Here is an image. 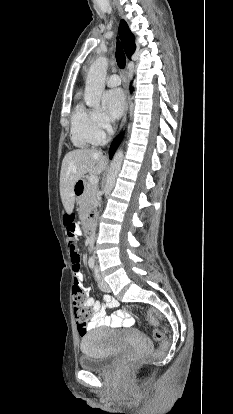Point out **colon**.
I'll return each instance as SVG.
<instances>
[{
  "mask_svg": "<svg viewBox=\"0 0 233 414\" xmlns=\"http://www.w3.org/2000/svg\"><path fill=\"white\" fill-rule=\"evenodd\" d=\"M77 231V227L72 220H67L66 222V232L68 237V246L70 253L73 250L78 251V243H77V236L75 232ZM73 294V293H72ZM73 304H74V314L77 323V328L80 334H84L87 329L89 328L91 321H92V311L87 306L86 303V293L85 291L79 295L73 294ZM149 319L153 325H158L160 315L157 310L150 309L149 310ZM152 337L156 341H160L163 338V333L160 329L156 328L152 332ZM166 348V344L162 343L159 348L155 351V354H160ZM137 363V360L132 359L127 362L126 368H132Z\"/></svg>",
  "mask_w": 233,
  "mask_h": 414,
  "instance_id": "obj_1",
  "label": "colon"
}]
</instances>
